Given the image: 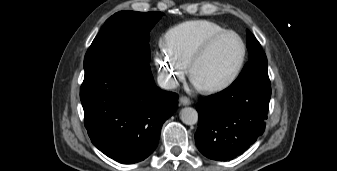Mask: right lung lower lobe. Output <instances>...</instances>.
Masks as SVG:
<instances>
[{
    "label": "right lung lower lobe",
    "mask_w": 337,
    "mask_h": 171,
    "mask_svg": "<svg viewBox=\"0 0 337 171\" xmlns=\"http://www.w3.org/2000/svg\"><path fill=\"white\" fill-rule=\"evenodd\" d=\"M84 69L80 98L92 143L120 163L143 161L157 147L178 95L156 87L148 62L109 57Z\"/></svg>",
    "instance_id": "right-lung-lower-lobe-1"
}]
</instances>
